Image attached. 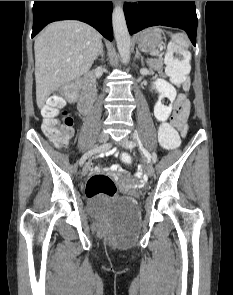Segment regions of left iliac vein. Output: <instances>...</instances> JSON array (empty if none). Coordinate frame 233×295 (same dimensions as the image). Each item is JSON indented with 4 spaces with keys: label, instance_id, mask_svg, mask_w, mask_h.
<instances>
[{
    "label": "left iliac vein",
    "instance_id": "1",
    "mask_svg": "<svg viewBox=\"0 0 233 295\" xmlns=\"http://www.w3.org/2000/svg\"><path fill=\"white\" fill-rule=\"evenodd\" d=\"M130 139L129 138H124L121 142H120V144L123 146V147H125V148H127V149H133L136 145H129L128 144V141H129ZM146 173H147V175L149 176V177H152L153 175H154V167L152 166V164H150V163H147V165H146Z\"/></svg>",
    "mask_w": 233,
    "mask_h": 295
}]
</instances>
